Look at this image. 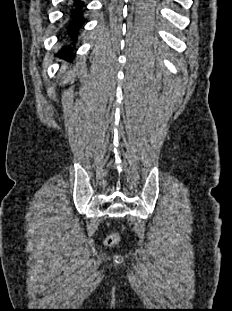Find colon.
<instances>
[{
	"label": "colon",
	"mask_w": 232,
	"mask_h": 311,
	"mask_svg": "<svg viewBox=\"0 0 232 311\" xmlns=\"http://www.w3.org/2000/svg\"><path fill=\"white\" fill-rule=\"evenodd\" d=\"M119 241V238H118V235L113 233V234H110L106 240V243L110 246H113L115 244H117Z\"/></svg>",
	"instance_id": "1"
}]
</instances>
